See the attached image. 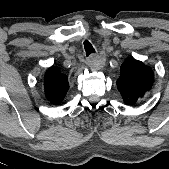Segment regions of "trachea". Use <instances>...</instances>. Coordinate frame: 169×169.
<instances>
[{
	"label": "trachea",
	"mask_w": 169,
	"mask_h": 169,
	"mask_svg": "<svg viewBox=\"0 0 169 169\" xmlns=\"http://www.w3.org/2000/svg\"><path fill=\"white\" fill-rule=\"evenodd\" d=\"M84 49L86 52V56H89L90 54L95 52V49L93 48L92 44L88 40L84 41Z\"/></svg>",
	"instance_id": "obj_1"
}]
</instances>
